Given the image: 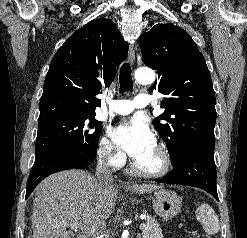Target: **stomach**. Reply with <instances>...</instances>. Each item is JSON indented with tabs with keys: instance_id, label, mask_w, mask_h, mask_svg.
Segmentation results:
<instances>
[{
	"instance_id": "0dacf381",
	"label": "stomach",
	"mask_w": 247,
	"mask_h": 238,
	"mask_svg": "<svg viewBox=\"0 0 247 238\" xmlns=\"http://www.w3.org/2000/svg\"><path fill=\"white\" fill-rule=\"evenodd\" d=\"M151 199L154 211L164 221L174 218L181 209L182 200L173 191L161 189Z\"/></svg>"
}]
</instances>
